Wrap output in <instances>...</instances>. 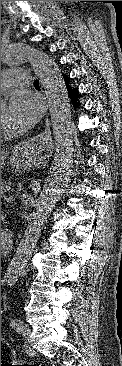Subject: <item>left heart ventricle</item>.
<instances>
[{"label": "left heart ventricle", "mask_w": 122, "mask_h": 366, "mask_svg": "<svg viewBox=\"0 0 122 366\" xmlns=\"http://www.w3.org/2000/svg\"><path fill=\"white\" fill-rule=\"evenodd\" d=\"M6 108L1 106V131L11 132V129L7 126L5 121Z\"/></svg>", "instance_id": "obj_1"}]
</instances>
